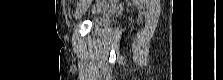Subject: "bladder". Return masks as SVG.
<instances>
[{
	"label": "bladder",
	"mask_w": 223,
	"mask_h": 80,
	"mask_svg": "<svg viewBox=\"0 0 223 80\" xmlns=\"http://www.w3.org/2000/svg\"><path fill=\"white\" fill-rule=\"evenodd\" d=\"M107 22V18L105 16H97L94 18L93 23L95 26H103Z\"/></svg>",
	"instance_id": "1"
}]
</instances>
